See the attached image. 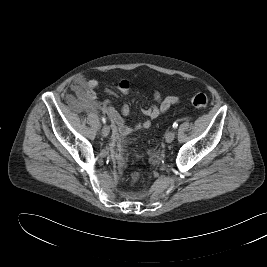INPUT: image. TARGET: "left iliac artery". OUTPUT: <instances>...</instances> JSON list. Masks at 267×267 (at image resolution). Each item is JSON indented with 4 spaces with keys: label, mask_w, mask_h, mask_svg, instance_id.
<instances>
[{
    "label": "left iliac artery",
    "mask_w": 267,
    "mask_h": 267,
    "mask_svg": "<svg viewBox=\"0 0 267 267\" xmlns=\"http://www.w3.org/2000/svg\"><path fill=\"white\" fill-rule=\"evenodd\" d=\"M178 127V123L174 122L173 123V128L176 129Z\"/></svg>",
    "instance_id": "obj_1"
}]
</instances>
